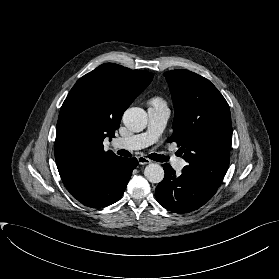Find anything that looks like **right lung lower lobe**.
<instances>
[{
	"instance_id": "98d812e1",
	"label": "right lung lower lobe",
	"mask_w": 279,
	"mask_h": 279,
	"mask_svg": "<svg viewBox=\"0 0 279 279\" xmlns=\"http://www.w3.org/2000/svg\"><path fill=\"white\" fill-rule=\"evenodd\" d=\"M137 165L136 158L120 157L111 165L84 174L73 186L66 188L88 207H106L121 198Z\"/></svg>"
}]
</instances>
